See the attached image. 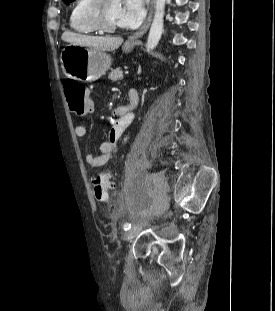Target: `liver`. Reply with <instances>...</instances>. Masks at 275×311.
<instances>
[{"mask_svg": "<svg viewBox=\"0 0 275 311\" xmlns=\"http://www.w3.org/2000/svg\"><path fill=\"white\" fill-rule=\"evenodd\" d=\"M62 40L73 45H81L86 47L95 48L100 51H113L117 49L122 43L121 37H99L81 35L71 32H64L62 34Z\"/></svg>", "mask_w": 275, "mask_h": 311, "instance_id": "obj_1", "label": "liver"}]
</instances>
